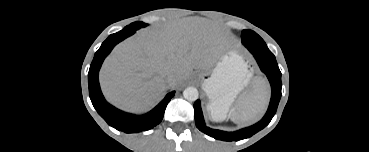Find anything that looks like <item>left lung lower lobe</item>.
<instances>
[{
    "mask_svg": "<svg viewBox=\"0 0 369 152\" xmlns=\"http://www.w3.org/2000/svg\"><path fill=\"white\" fill-rule=\"evenodd\" d=\"M251 53L255 57L260 69L267 75L269 82L272 87V95L269 108L265 116L253 126L235 131V132H224L220 130H215L207 127L205 125L203 114L200 106V101L197 100L194 103L195 109V123L197 128L204 132L205 134L219 140L223 141H239L245 138H249L258 131L266 127L273 116L276 113L280 98H281V72L279 70L278 64L276 62L274 55L261 54L255 50Z\"/></svg>",
    "mask_w": 369,
    "mask_h": 152,
    "instance_id": "1",
    "label": "left lung lower lobe"
}]
</instances>
